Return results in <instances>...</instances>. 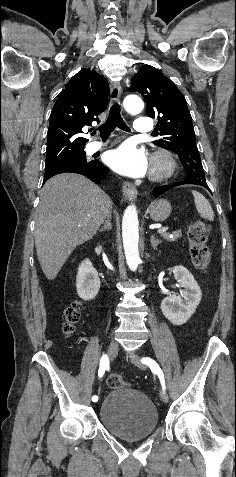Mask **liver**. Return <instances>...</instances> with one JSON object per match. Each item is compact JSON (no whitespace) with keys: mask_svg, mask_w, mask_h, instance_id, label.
<instances>
[{"mask_svg":"<svg viewBox=\"0 0 236 477\" xmlns=\"http://www.w3.org/2000/svg\"><path fill=\"white\" fill-rule=\"evenodd\" d=\"M112 205L100 187L78 174H59L44 184L35 247L47 279L54 280L74 249L93 238L111 215Z\"/></svg>","mask_w":236,"mask_h":477,"instance_id":"liver-1","label":"liver"}]
</instances>
